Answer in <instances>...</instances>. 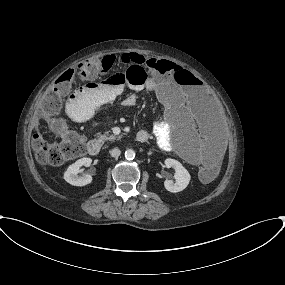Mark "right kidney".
Wrapping results in <instances>:
<instances>
[{
	"label": "right kidney",
	"instance_id": "ca27d5eb",
	"mask_svg": "<svg viewBox=\"0 0 285 285\" xmlns=\"http://www.w3.org/2000/svg\"><path fill=\"white\" fill-rule=\"evenodd\" d=\"M92 163L91 158H81L71 164L66 172L64 173V179L71 185L74 186H85L92 182V176L90 174H83L79 176L78 173L81 172V167H89Z\"/></svg>",
	"mask_w": 285,
	"mask_h": 285
}]
</instances>
